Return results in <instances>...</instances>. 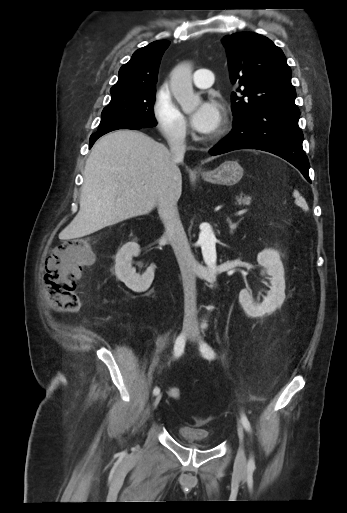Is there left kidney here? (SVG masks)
I'll list each match as a JSON object with an SVG mask.
<instances>
[{
    "instance_id": "5707ae66",
    "label": "left kidney",
    "mask_w": 347,
    "mask_h": 513,
    "mask_svg": "<svg viewBox=\"0 0 347 513\" xmlns=\"http://www.w3.org/2000/svg\"><path fill=\"white\" fill-rule=\"evenodd\" d=\"M257 261L265 268L262 273L270 276L271 287L262 303L254 301L250 289H243L240 292V304L250 317L270 315L281 307L285 300L284 267L279 253L274 249L266 248L258 254Z\"/></svg>"
}]
</instances>
